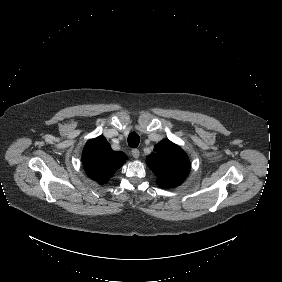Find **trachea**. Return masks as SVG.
Wrapping results in <instances>:
<instances>
[{
  "instance_id": "3493384b",
  "label": "trachea",
  "mask_w": 282,
  "mask_h": 282,
  "mask_svg": "<svg viewBox=\"0 0 282 282\" xmlns=\"http://www.w3.org/2000/svg\"><path fill=\"white\" fill-rule=\"evenodd\" d=\"M139 142H140V137H139V135L137 133L131 132L128 135V145L131 148H137L138 145H139Z\"/></svg>"
}]
</instances>
